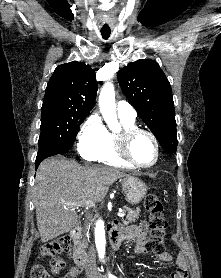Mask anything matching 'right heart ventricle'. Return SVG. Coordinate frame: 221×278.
Returning a JSON list of instances; mask_svg holds the SVG:
<instances>
[{
    "label": "right heart ventricle",
    "mask_w": 221,
    "mask_h": 278,
    "mask_svg": "<svg viewBox=\"0 0 221 278\" xmlns=\"http://www.w3.org/2000/svg\"><path fill=\"white\" fill-rule=\"evenodd\" d=\"M120 119L121 122L123 123L124 128L135 127L134 121H129L122 118ZM115 144H116V135L113 133H109L107 144L98 160L102 163L115 166V167H130L118 157L115 150Z\"/></svg>",
    "instance_id": "e07e8e85"
}]
</instances>
